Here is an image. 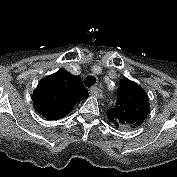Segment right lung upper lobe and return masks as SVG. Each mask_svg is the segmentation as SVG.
I'll return each instance as SVG.
<instances>
[{
	"mask_svg": "<svg viewBox=\"0 0 177 177\" xmlns=\"http://www.w3.org/2000/svg\"><path fill=\"white\" fill-rule=\"evenodd\" d=\"M87 97L81 79L61 69L39 82L33 103L35 110L47 120H57Z\"/></svg>",
	"mask_w": 177,
	"mask_h": 177,
	"instance_id": "right-lung-upper-lobe-1",
	"label": "right lung upper lobe"
}]
</instances>
